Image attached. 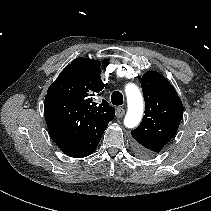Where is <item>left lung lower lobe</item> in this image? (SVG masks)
Masks as SVG:
<instances>
[{"instance_id": "0a47b994", "label": "left lung lower lobe", "mask_w": 211, "mask_h": 211, "mask_svg": "<svg viewBox=\"0 0 211 211\" xmlns=\"http://www.w3.org/2000/svg\"><path fill=\"white\" fill-rule=\"evenodd\" d=\"M136 154L140 157H149L152 155L150 152L143 149H136Z\"/></svg>"}]
</instances>
